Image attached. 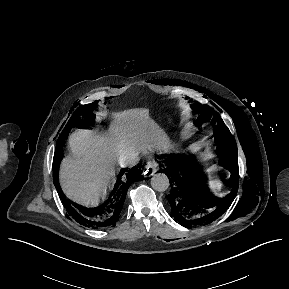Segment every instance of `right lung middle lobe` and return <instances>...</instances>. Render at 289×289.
Returning a JSON list of instances; mask_svg holds the SVG:
<instances>
[{"instance_id":"right-lung-middle-lobe-1","label":"right lung middle lobe","mask_w":289,"mask_h":289,"mask_svg":"<svg viewBox=\"0 0 289 289\" xmlns=\"http://www.w3.org/2000/svg\"><path fill=\"white\" fill-rule=\"evenodd\" d=\"M97 108V102L83 105L75 110L71 118L69 119L68 123L64 127L62 134H66L65 137L68 135V130L75 125L76 127L79 126H88L92 125L95 119V115L93 111Z\"/></svg>"}]
</instances>
